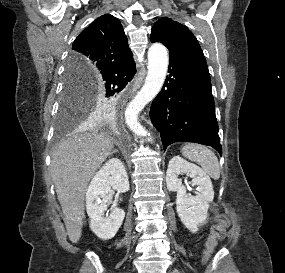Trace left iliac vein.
<instances>
[{
	"mask_svg": "<svg viewBox=\"0 0 285 273\" xmlns=\"http://www.w3.org/2000/svg\"><path fill=\"white\" fill-rule=\"evenodd\" d=\"M170 273H180L178 270H172Z\"/></svg>",
	"mask_w": 285,
	"mask_h": 273,
	"instance_id": "obj_1",
	"label": "left iliac vein"
}]
</instances>
